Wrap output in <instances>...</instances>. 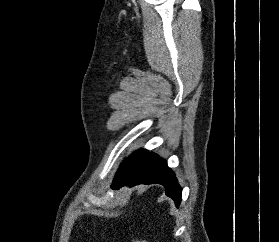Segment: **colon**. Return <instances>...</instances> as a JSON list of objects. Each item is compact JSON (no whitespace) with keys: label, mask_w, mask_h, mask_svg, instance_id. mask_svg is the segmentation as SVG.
<instances>
[{"label":"colon","mask_w":279,"mask_h":242,"mask_svg":"<svg viewBox=\"0 0 279 242\" xmlns=\"http://www.w3.org/2000/svg\"><path fill=\"white\" fill-rule=\"evenodd\" d=\"M132 242H148V241L143 240V239H139V238H135V239H133Z\"/></svg>","instance_id":"1"}]
</instances>
